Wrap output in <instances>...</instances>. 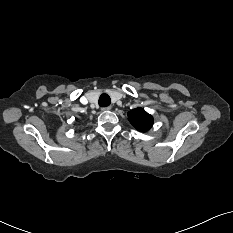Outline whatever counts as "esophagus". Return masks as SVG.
Returning a JSON list of instances; mask_svg holds the SVG:
<instances>
[{
  "label": "esophagus",
  "instance_id": "1",
  "mask_svg": "<svg viewBox=\"0 0 233 233\" xmlns=\"http://www.w3.org/2000/svg\"><path fill=\"white\" fill-rule=\"evenodd\" d=\"M110 110H111V106L102 108V111H110Z\"/></svg>",
  "mask_w": 233,
  "mask_h": 233
}]
</instances>
